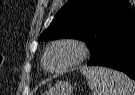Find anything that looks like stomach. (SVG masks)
<instances>
[{
    "instance_id": "obj_1",
    "label": "stomach",
    "mask_w": 135,
    "mask_h": 95,
    "mask_svg": "<svg viewBox=\"0 0 135 95\" xmlns=\"http://www.w3.org/2000/svg\"><path fill=\"white\" fill-rule=\"evenodd\" d=\"M73 86L70 82L57 81L44 95H72Z\"/></svg>"
}]
</instances>
